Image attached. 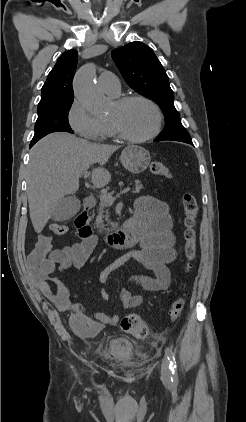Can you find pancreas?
Wrapping results in <instances>:
<instances>
[{
	"instance_id": "1",
	"label": "pancreas",
	"mask_w": 246,
	"mask_h": 422,
	"mask_svg": "<svg viewBox=\"0 0 246 422\" xmlns=\"http://www.w3.org/2000/svg\"><path fill=\"white\" fill-rule=\"evenodd\" d=\"M143 188V185L139 180H135V193L140 192ZM113 192L110 194L112 195ZM109 204L100 198L99 208L97 210L98 214L96 216V227L100 233L102 232H109V225L112 228L116 227V224L112 223L109 219V211H108Z\"/></svg>"
}]
</instances>
